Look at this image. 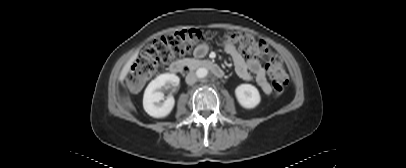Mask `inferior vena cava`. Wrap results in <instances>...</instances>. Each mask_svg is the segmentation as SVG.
I'll list each match as a JSON object with an SVG mask.
<instances>
[{
  "instance_id": "602c4592",
  "label": "inferior vena cava",
  "mask_w": 406,
  "mask_h": 168,
  "mask_svg": "<svg viewBox=\"0 0 406 168\" xmlns=\"http://www.w3.org/2000/svg\"><path fill=\"white\" fill-rule=\"evenodd\" d=\"M196 80H197L196 75L192 72L188 73L185 78V81L188 85H193L196 82Z\"/></svg>"
}]
</instances>
